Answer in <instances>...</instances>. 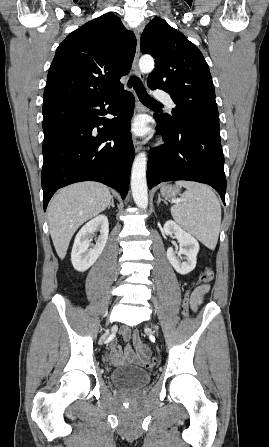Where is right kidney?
I'll list each match as a JSON object with an SVG mask.
<instances>
[{"label": "right kidney", "mask_w": 269, "mask_h": 447, "mask_svg": "<svg viewBox=\"0 0 269 447\" xmlns=\"http://www.w3.org/2000/svg\"><path fill=\"white\" fill-rule=\"evenodd\" d=\"M100 231L95 245L90 247L91 233ZM109 224L107 216H96L79 229L71 251V261L77 271H85L91 267L101 255L108 239Z\"/></svg>", "instance_id": "right-kidney-1"}]
</instances>
